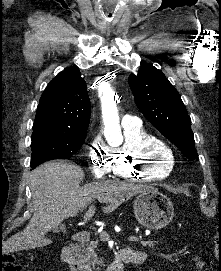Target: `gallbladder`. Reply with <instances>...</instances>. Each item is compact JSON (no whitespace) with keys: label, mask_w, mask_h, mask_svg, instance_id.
Here are the masks:
<instances>
[{"label":"gallbladder","mask_w":221,"mask_h":271,"mask_svg":"<svg viewBox=\"0 0 221 271\" xmlns=\"http://www.w3.org/2000/svg\"><path fill=\"white\" fill-rule=\"evenodd\" d=\"M64 229V225L62 223H59V225H55V227H52V231H62Z\"/></svg>","instance_id":"bac80fb5"}]
</instances>
